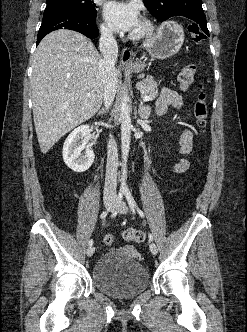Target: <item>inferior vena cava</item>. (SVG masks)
Here are the masks:
<instances>
[{
  "mask_svg": "<svg viewBox=\"0 0 247 332\" xmlns=\"http://www.w3.org/2000/svg\"><path fill=\"white\" fill-rule=\"evenodd\" d=\"M99 48L103 55V59L101 61L102 76L104 80L103 100L104 105L108 110L113 103L116 94L117 87L115 63L118 56L117 42L110 30H101ZM107 147L104 200H114L116 198L117 188L118 152L116 142L112 136H110Z\"/></svg>",
  "mask_w": 247,
  "mask_h": 332,
  "instance_id": "obj_1",
  "label": "inferior vena cava"
}]
</instances>
